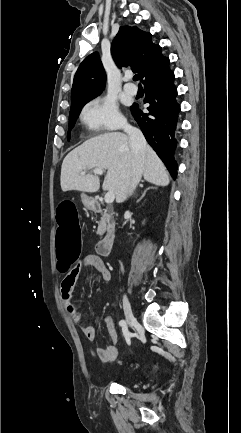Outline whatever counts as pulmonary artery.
<instances>
[{
	"label": "pulmonary artery",
	"mask_w": 241,
	"mask_h": 433,
	"mask_svg": "<svg viewBox=\"0 0 241 433\" xmlns=\"http://www.w3.org/2000/svg\"><path fill=\"white\" fill-rule=\"evenodd\" d=\"M124 90L126 93L135 95L137 93V87L131 83H126L124 85Z\"/></svg>",
	"instance_id": "1"
}]
</instances>
